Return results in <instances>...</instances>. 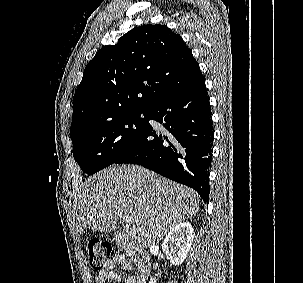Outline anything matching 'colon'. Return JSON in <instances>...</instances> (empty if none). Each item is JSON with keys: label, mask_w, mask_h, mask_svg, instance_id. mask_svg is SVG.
I'll return each mask as SVG.
<instances>
[{"label": "colon", "mask_w": 303, "mask_h": 283, "mask_svg": "<svg viewBox=\"0 0 303 283\" xmlns=\"http://www.w3.org/2000/svg\"><path fill=\"white\" fill-rule=\"evenodd\" d=\"M85 252L90 267L95 271L103 270L106 262L114 255L112 244L98 238H93L86 242Z\"/></svg>", "instance_id": "colon-1"}]
</instances>
